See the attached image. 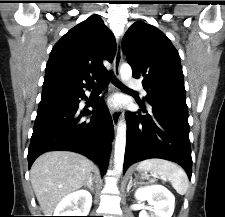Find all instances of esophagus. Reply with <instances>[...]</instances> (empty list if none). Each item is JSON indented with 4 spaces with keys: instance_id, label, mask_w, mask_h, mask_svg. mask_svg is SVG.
<instances>
[{
    "instance_id": "34e87169",
    "label": "esophagus",
    "mask_w": 225,
    "mask_h": 217,
    "mask_svg": "<svg viewBox=\"0 0 225 217\" xmlns=\"http://www.w3.org/2000/svg\"><path fill=\"white\" fill-rule=\"evenodd\" d=\"M122 38L119 37L117 41V49H116V54L114 58V75L116 78H119L120 76V65L122 61V44H121ZM111 117L112 121L114 124V127L116 128L120 119V111L117 110H112L111 111Z\"/></svg>"
}]
</instances>
